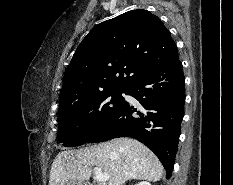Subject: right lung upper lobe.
<instances>
[{"label":"right lung upper lobe","mask_w":233,"mask_h":185,"mask_svg":"<svg viewBox=\"0 0 233 185\" xmlns=\"http://www.w3.org/2000/svg\"><path fill=\"white\" fill-rule=\"evenodd\" d=\"M178 59L162 21L132 10L94 27L78 46L66 70L60 108L109 89H128L144 74Z\"/></svg>","instance_id":"1"}]
</instances>
